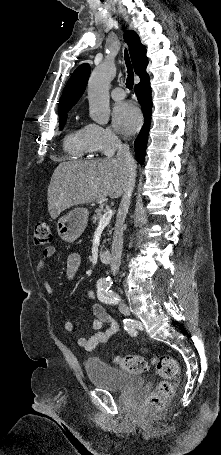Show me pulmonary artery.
I'll use <instances>...</instances> for the list:
<instances>
[{"instance_id":"pulmonary-artery-1","label":"pulmonary artery","mask_w":221,"mask_h":455,"mask_svg":"<svg viewBox=\"0 0 221 455\" xmlns=\"http://www.w3.org/2000/svg\"><path fill=\"white\" fill-rule=\"evenodd\" d=\"M111 97L115 101H121L125 98V92L122 88L116 87L111 91Z\"/></svg>"}]
</instances>
